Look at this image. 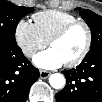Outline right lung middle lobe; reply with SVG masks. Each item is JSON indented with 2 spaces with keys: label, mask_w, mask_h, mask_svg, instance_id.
I'll list each match as a JSON object with an SVG mask.
<instances>
[{
  "label": "right lung middle lobe",
  "mask_w": 102,
  "mask_h": 102,
  "mask_svg": "<svg viewBox=\"0 0 102 102\" xmlns=\"http://www.w3.org/2000/svg\"><path fill=\"white\" fill-rule=\"evenodd\" d=\"M34 8L16 6L9 1L0 2V44L15 46V31L19 21Z\"/></svg>",
  "instance_id": "right-lung-middle-lobe-1"
}]
</instances>
